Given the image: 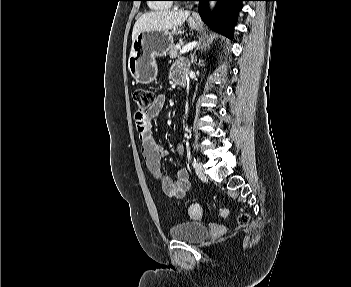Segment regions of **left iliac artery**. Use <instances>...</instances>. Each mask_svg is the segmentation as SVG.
<instances>
[{
    "mask_svg": "<svg viewBox=\"0 0 351 287\" xmlns=\"http://www.w3.org/2000/svg\"><path fill=\"white\" fill-rule=\"evenodd\" d=\"M196 164H197V162H196V159L194 158L193 161H192L193 167H196Z\"/></svg>",
    "mask_w": 351,
    "mask_h": 287,
    "instance_id": "left-iliac-artery-1",
    "label": "left iliac artery"
}]
</instances>
